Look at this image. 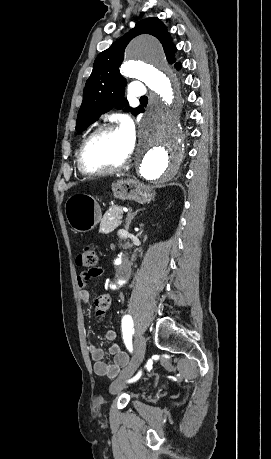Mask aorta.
Here are the masks:
<instances>
[{"label":"aorta","mask_w":271,"mask_h":459,"mask_svg":"<svg viewBox=\"0 0 271 459\" xmlns=\"http://www.w3.org/2000/svg\"><path fill=\"white\" fill-rule=\"evenodd\" d=\"M126 56L122 75L140 78L152 91L140 129L136 166L146 182L170 179L178 172L184 155L177 78L166 63L160 43L153 37L142 35L132 40ZM130 267L128 246L123 245L109 270L107 283L112 289L126 283Z\"/></svg>","instance_id":"aorta-1"}]
</instances>
